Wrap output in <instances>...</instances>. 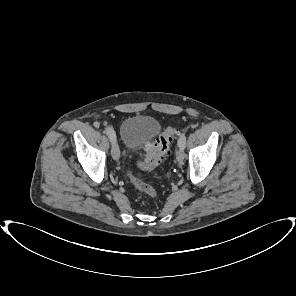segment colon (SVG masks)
<instances>
[{
    "label": "colon",
    "instance_id": "1",
    "mask_svg": "<svg viewBox=\"0 0 296 296\" xmlns=\"http://www.w3.org/2000/svg\"><path fill=\"white\" fill-rule=\"evenodd\" d=\"M177 134L178 130L176 128L168 127L155 141L149 143L147 145L146 158L137 163L138 167L143 170H152L157 167L165 157L170 155V145ZM130 180L139 191L151 198L156 197L157 192L151 185L145 183L132 173Z\"/></svg>",
    "mask_w": 296,
    "mask_h": 296
}]
</instances>
